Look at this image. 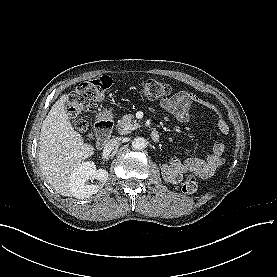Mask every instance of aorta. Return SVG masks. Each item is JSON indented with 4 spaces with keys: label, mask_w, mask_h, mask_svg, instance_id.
<instances>
[{
    "label": "aorta",
    "mask_w": 277,
    "mask_h": 277,
    "mask_svg": "<svg viewBox=\"0 0 277 277\" xmlns=\"http://www.w3.org/2000/svg\"><path fill=\"white\" fill-rule=\"evenodd\" d=\"M147 147V142L143 137H136L132 141V148L134 150H144Z\"/></svg>",
    "instance_id": "aorta-1"
}]
</instances>
